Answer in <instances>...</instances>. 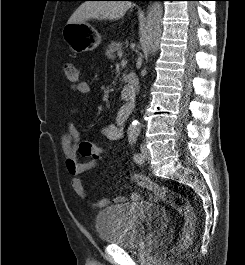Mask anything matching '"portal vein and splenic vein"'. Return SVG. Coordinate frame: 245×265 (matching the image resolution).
Returning a JSON list of instances; mask_svg holds the SVG:
<instances>
[{
    "label": "portal vein and splenic vein",
    "instance_id": "1",
    "mask_svg": "<svg viewBox=\"0 0 245 265\" xmlns=\"http://www.w3.org/2000/svg\"><path fill=\"white\" fill-rule=\"evenodd\" d=\"M117 55L121 58L123 55L122 51H118Z\"/></svg>",
    "mask_w": 245,
    "mask_h": 265
}]
</instances>
